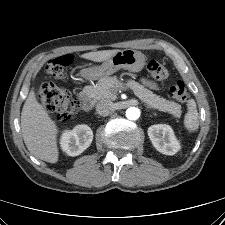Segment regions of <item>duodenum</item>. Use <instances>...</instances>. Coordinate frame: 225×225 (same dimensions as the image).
<instances>
[{
  "mask_svg": "<svg viewBox=\"0 0 225 225\" xmlns=\"http://www.w3.org/2000/svg\"><path fill=\"white\" fill-rule=\"evenodd\" d=\"M94 100L91 95L83 94L79 99V105L82 111H88L93 107Z\"/></svg>",
  "mask_w": 225,
  "mask_h": 225,
  "instance_id": "obj_1",
  "label": "duodenum"
}]
</instances>
